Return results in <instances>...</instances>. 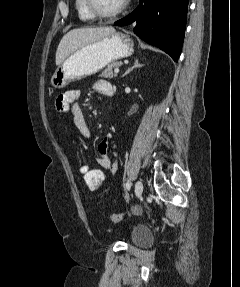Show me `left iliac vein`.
<instances>
[{
  "instance_id": "obj_1",
  "label": "left iliac vein",
  "mask_w": 240,
  "mask_h": 287,
  "mask_svg": "<svg viewBox=\"0 0 240 287\" xmlns=\"http://www.w3.org/2000/svg\"><path fill=\"white\" fill-rule=\"evenodd\" d=\"M143 193V184L141 181H137L135 184V195L137 198L141 197Z\"/></svg>"
}]
</instances>
